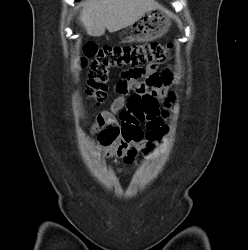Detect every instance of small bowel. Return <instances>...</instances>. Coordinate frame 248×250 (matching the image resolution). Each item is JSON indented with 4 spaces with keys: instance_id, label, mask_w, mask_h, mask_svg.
<instances>
[{
    "instance_id": "obj_1",
    "label": "small bowel",
    "mask_w": 248,
    "mask_h": 250,
    "mask_svg": "<svg viewBox=\"0 0 248 250\" xmlns=\"http://www.w3.org/2000/svg\"><path fill=\"white\" fill-rule=\"evenodd\" d=\"M157 73L155 66H148L139 77L117 82L115 88L119 96L113 101L109 111H101L98 114L91 127L92 132L98 136L105 156L120 158L125 164H131L139 152L151 151L152 141L164 133L165 112L158 109L144 120H138L128 107L124 109L130 91L142 94L149 92L157 98L163 96V87H156L142 80H148ZM116 115H120V121ZM140 121L146 122L145 132L139 126Z\"/></svg>"
}]
</instances>
